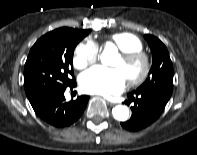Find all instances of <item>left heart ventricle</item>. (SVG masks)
<instances>
[{
	"mask_svg": "<svg viewBox=\"0 0 197 155\" xmlns=\"http://www.w3.org/2000/svg\"><path fill=\"white\" fill-rule=\"evenodd\" d=\"M112 65L120 69L126 79L135 77L141 72V64L139 62L125 63L120 55L116 57Z\"/></svg>",
	"mask_w": 197,
	"mask_h": 155,
	"instance_id": "left-heart-ventricle-1",
	"label": "left heart ventricle"
}]
</instances>
